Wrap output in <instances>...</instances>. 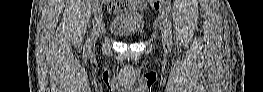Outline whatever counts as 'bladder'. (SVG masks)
I'll return each mask as SVG.
<instances>
[{"label": "bladder", "mask_w": 263, "mask_h": 92, "mask_svg": "<svg viewBox=\"0 0 263 92\" xmlns=\"http://www.w3.org/2000/svg\"><path fill=\"white\" fill-rule=\"evenodd\" d=\"M143 24L142 15L133 10L112 17L108 28L120 39H133L140 35Z\"/></svg>", "instance_id": "bladder-1"}]
</instances>
